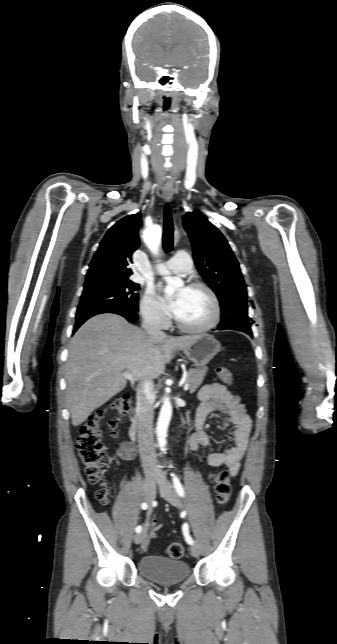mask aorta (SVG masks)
<instances>
[{
	"label": "aorta",
	"mask_w": 337,
	"mask_h": 644,
	"mask_svg": "<svg viewBox=\"0 0 337 644\" xmlns=\"http://www.w3.org/2000/svg\"><path fill=\"white\" fill-rule=\"evenodd\" d=\"M145 243L154 255H158L159 248L161 244V231L158 228H154L148 231L145 234ZM160 272L165 275V281L167 286L165 288V293L171 295L174 291L184 285L182 279L178 277L168 276V271L165 268H161ZM172 416V405L169 400V397L165 396L163 398V404L160 410V414L157 420L156 434L158 446L161 450H164L167 440V431L169 423Z\"/></svg>",
	"instance_id": "aorta-1"
}]
</instances>
